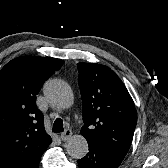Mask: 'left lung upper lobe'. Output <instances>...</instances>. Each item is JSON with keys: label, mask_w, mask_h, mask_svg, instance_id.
Wrapping results in <instances>:
<instances>
[{"label": "left lung upper lobe", "mask_w": 168, "mask_h": 168, "mask_svg": "<svg viewBox=\"0 0 168 168\" xmlns=\"http://www.w3.org/2000/svg\"><path fill=\"white\" fill-rule=\"evenodd\" d=\"M77 68L85 124L81 134L89 143L125 157L137 123L129 92L107 66L82 62Z\"/></svg>", "instance_id": "1"}]
</instances>
